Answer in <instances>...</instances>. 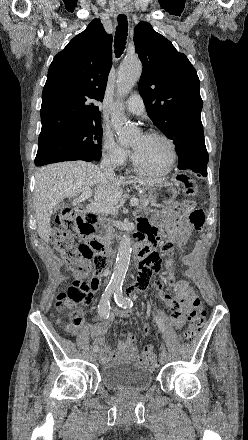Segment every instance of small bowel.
Masks as SVG:
<instances>
[{"label": "small bowel", "instance_id": "1", "mask_svg": "<svg viewBox=\"0 0 248 440\" xmlns=\"http://www.w3.org/2000/svg\"><path fill=\"white\" fill-rule=\"evenodd\" d=\"M139 233L138 236L148 241L150 244H155L161 229L164 227L171 228L174 237H187L192 230L189 223L184 222L179 215V212L174 209H166L163 212L157 213L151 220L146 218L139 219ZM183 262L190 265L193 261L191 255L183 257ZM142 266L139 269V286L146 287L147 292H156L166 308L172 312L171 323L176 329H180L186 322L188 313L199 308V301L185 280H177L174 276L175 268L178 267L179 262L175 257H158V254H153L150 257H143ZM96 271H92V276L96 282V288L99 287L100 278L99 272H105V267H96ZM155 271L158 280L153 281V285L149 284L151 273ZM165 285L166 290L175 291V296L172 297L164 292L161 288ZM76 315L82 316V310L78 309ZM126 315V313H122ZM114 313L109 314L104 321L98 322L89 328L90 335L94 340L96 346L100 347V361L108 363L114 360L127 359L129 361H141L136 353L135 336L132 333L126 334L119 342L115 349L110 347L105 342V335L109 330L113 320ZM79 326V325H77ZM67 331L73 335L79 332L78 327H68Z\"/></svg>", "mask_w": 248, "mask_h": 440}]
</instances>
